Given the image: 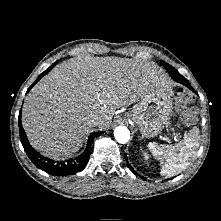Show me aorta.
<instances>
[{
	"label": "aorta",
	"instance_id": "1",
	"mask_svg": "<svg viewBox=\"0 0 221 221\" xmlns=\"http://www.w3.org/2000/svg\"><path fill=\"white\" fill-rule=\"evenodd\" d=\"M114 137L117 142L121 144H125L130 139V132L125 126H118L114 130Z\"/></svg>",
	"mask_w": 221,
	"mask_h": 221
}]
</instances>
